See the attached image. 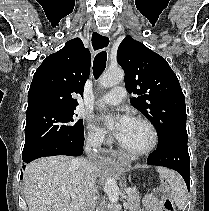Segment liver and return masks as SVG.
Instances as JSON below:
<instances>
[{
	"label": "liver",
	"mask_w": 209,
	"mask_h": 211,
	"mask_svg": "<svg viewBox=\"0 0 209 211\" xmlns=\"http://www.w3.org/2000/svg\"><path fill=\"white\" fill-rule=\"evenodd\" d=\"M77 160L51 156L27 165L24 194L29 211H86L89 182ZM100 172L94 165L96 177Z\"/></svg>",
	"instance_id": "1"
}]
</instances>
